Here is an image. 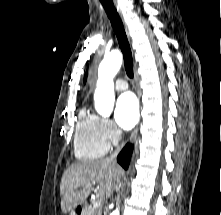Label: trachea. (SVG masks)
Instances as JSON below:
<instances>
[{"label": "trachea", "mask_w": 221, "mask_h": 215, "mask_svg": "<svg viewBox=\"0 0 221 215\" xmlns=\"http://www.w3.org/2000/svg\"><path fill=\"white\" fill-rule=\"evenodd\" d=\"M118 39L119 47L123 53L125 71L129 78L133 77V60L130 45L122 21L111 0H100Z\"/></svg>", "instance_id": "1"}]
</instances>
